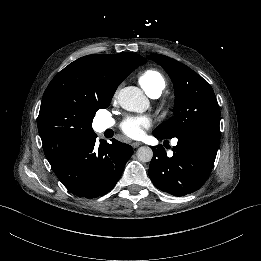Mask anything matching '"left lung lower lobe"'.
Instances as JSON below:
<instances>
[{"label":"left lung lower lobe","instance_id":"1","mask_svg":"<svg viewBox=\"0 0 261 261\" xmlns=\"http://www.w3.org/2000/svg\"><path fill=\"white\" fill-rule=\"evenodd\" d=\"M159 139L161 135L153 133ZM178 143L168 157L162 145L153 150L148 174L161 191L184 196L200 189L208 179L216 158L220 134L193 129L177 137Z\"/></svg>","mask_w":261,"mask_h":261}]
</instances>
